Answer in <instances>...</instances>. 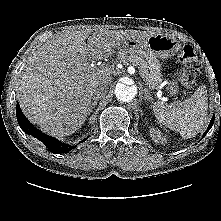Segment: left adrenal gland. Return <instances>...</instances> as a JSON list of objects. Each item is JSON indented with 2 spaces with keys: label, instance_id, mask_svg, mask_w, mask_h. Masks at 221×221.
<instances>
[{
  "label": "left adrenal gland",
  "instance_id": "1",
  "mask_svg": "<svg viewBox=\"0 0 221 221\" xmlns=\"http://www.w3.org/2000/svg\"><path fill=\"white\" fill-rule=\"evenodd\" d=\"M143 92H144V98H145V100H148V101H150L151 103H153V98H152V95L150 94V92L148 91V89L147 88H144L143 89Z\"/></svg>",
  "mask_w": 221,
  "mask_h": 221
}]
</instances>
